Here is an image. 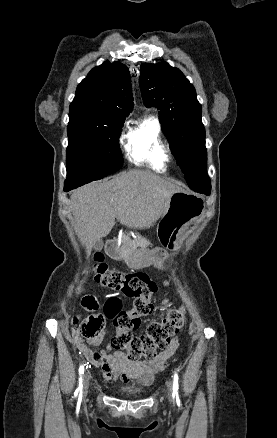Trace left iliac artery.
<instances>
[{"mask_svg":"<svg viewBox=\"0 0 277 438\" xmlns=\"http://www.w3.org/2000/svg\"><path fill=\"white\" fill-rule=\"evenodd\" d=\"M178 374L175 372L174 374V381H173V396L176 397L177 402L179 401V395H178Z\"/></svg>","mask_w":277,"mask_h":438,"instance_id":"44dca946","label":"left iliac artery"}]
</instances>
